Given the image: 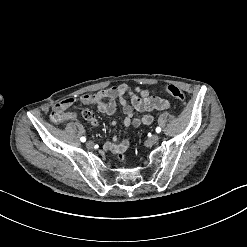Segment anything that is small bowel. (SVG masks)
Masks as SVG:
<instances>
[{
	"label": "small bowel",
	"instance_id": "1",
	"mask_svg": "<svg viewBox=\"0 0 247 247\" xmlns=\"http://www.w3.org/2000/svg\"><path fill=\"white\" fill-rule=\"evenodd\" d=\"M129 98V102L126 100ZM79 102L83 105H93L106 115H113L117 109V102L120 103L124 113L123 123L126 127H139L140 125H149L153 122L152 111L166 110L170 108L169 102L159 96L155 91L133 88L128 83H121L109 88L97 91L95 93H87L82 95ZM76 101L75 98H66L58 102L55 106L56 110L69 117H76L75 113H67L65 110ZM143 112L140 118L134 117V111ZM82 117L87 121L90 127L98 124V119L93 112L86 109L82 112ZM116 125V120L112 121ZM130 146V139L126 138L119 142L116 136L104 145L106 151L116 154L124 153Z\"/></svg>",
	"mask_w": 247,
	"mask_h": 247
}]
</instances>
